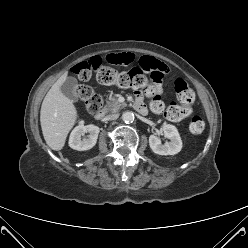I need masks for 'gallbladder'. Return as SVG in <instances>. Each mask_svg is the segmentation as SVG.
Listing matches in <instances>:
<instances>
[{
	"label": "gallbladder",
	"mask_w": 248,
	"mask_h": 248,
	"mask_svg": "<svg viewBox=\"0 0 248 248\" xmlns=\"http://www.w3.org/2000/svg\"><path fill=\"white\" fill-rule=\"evenodd\" d=\"M78 81L74 77H68L66 81L60 86L61 92L71 100H77L75 93Z\"/></svg>",
	"instance_id": "bac80fb5"
}]
</instances>
